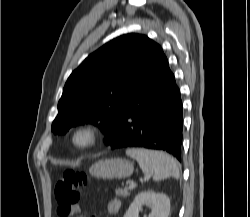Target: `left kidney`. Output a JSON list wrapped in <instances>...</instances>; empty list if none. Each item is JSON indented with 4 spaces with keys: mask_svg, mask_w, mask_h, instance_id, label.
<instances>
[{
    "mask_svg": "<svg viewBox=\"0 0 250 217\" xmlns=\"http://www.w3.org/2000/svg\"><path fill=\"white\" fill-rule=\"evenodd\" d=\"M146 204L152 209L149 217H168L170 212V199L163 193L145 191L139 193L124 217H138L142 206Z\"/></svg>",
    "mask_w": 250,
    "mask_h": 217,
    "instance_id": "obj_1",
    "label": "left kidney"
}]
</instances>
